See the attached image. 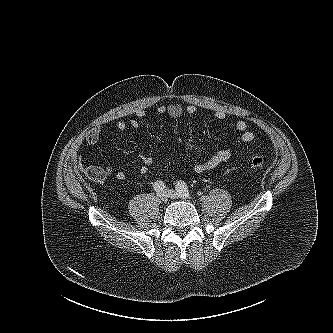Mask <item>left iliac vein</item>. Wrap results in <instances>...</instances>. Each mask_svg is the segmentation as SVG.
Masks as SVG:
<instances>
[{
	"mask_svg": "<svg viewBox=\"0 0 333 333\" xmlns=\"http://www.w3.org/2000/svg\"><path fill=\"white\" fill-rule=\"evenodd\" d=\"M165 192L167 193L168 197L171 199L183 198L179 193H177L176 191H174L172 189H167V190H165ZM183 199H185V198H183Z\"/></svg>",
	"mask_w": 333,
	"mask_h": 333,
	"instance_id": "1",
	"label": "left iliac vein"
}]
</instances>
